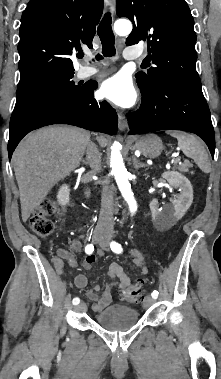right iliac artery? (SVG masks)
Segmentation results:
<instances>
[{
    "mask_svg": "<svg viewBox=\"0 0 221 379\" xmlns=\"http://www.w3.org/2000/svg\"><path fill=\"white\" fill-rule=\"evenodd\" d=\"M93 251H94L93 244H87L86 247H85L86 254H92ZM72 302H73L74 305H77V304H79L80 299L78 297H75Z\"/></svg>",
    "mask_w": 221,
    "mask_h": 379,
    "instance_id": "obj_1",
    "label": "right iliac artery"
}]
</instances>
